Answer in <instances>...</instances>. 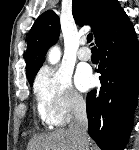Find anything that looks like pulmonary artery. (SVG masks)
<instances>
[{"label":"pulmonary artery","instance_id":"1","mask_svg":"<svg viewBox=\"0 0 139 150\" xmlns=\"http://www.w3.org/2000/svg\"><path fill=\"white\" fill-rule=\"evenodd\" d=\"M81 44H82V47L79 49L77 56L82 61H88L91 59V56H92L91 51L89 50V48L84 46L85 41H82Z\"/></svg>","mask_w":139,"mask_h":150}]
</instances>
